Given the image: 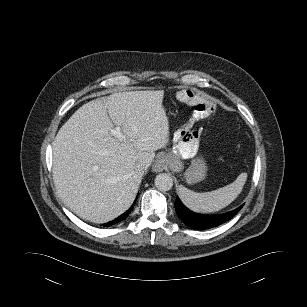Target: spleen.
<instances>
[{
    "instance_id": "1",
    "label": "spleen",
    "mask_w": 307,
    "mask_h": 307,
    "mask_svg": "<svg viewBox=\"0 0 307 307\" xmlns=\"http://www.w3.org/2000/svg\"><path fill=\"white\" fill-rule=\"evenodd\" d=\"M246 179L247 174L241 173L233 183L205 193H196L181 186L179 196L182 202L194 212L211 213L219 211L236 199L242 191Z\"/></svg>"
}]
</instances>
